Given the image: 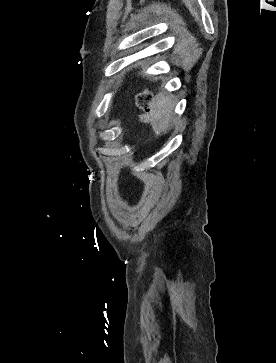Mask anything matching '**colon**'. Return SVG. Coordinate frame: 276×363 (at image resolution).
Listing matches in <instances>:
<instances>
[{"instance_id":"colon-1","label":"colon","mask_w":276,"mask_h":363,"mask_svg":"<svg viewBox=\"0 0 276 363\" xmlns=\"http://www.w3.org/2000/svg\"><path fill=\"white\" fill-rule=\"evenodd\" d=\"M151 101V94L147 89L140 91L136 96V104L142 111L140 115V121L142 123L148 122L149 104Z\"/></svg>"}]
</instances>
